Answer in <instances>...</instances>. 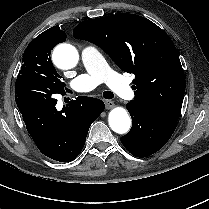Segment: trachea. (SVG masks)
I'll list each match as a JSON object with an SVG mask.
<instances>
[{
    "mask_svg": "<svg viewBox=\"0 0 209 209\" xmlns=\"http://www.w3.org/2000/svg\"><path fill=\"white\" fill-rule=\"evenodd\" d=\"M103 97L106 99H112L114 97V94L111 91H105L103 92Z\"/></svg>",
    "mask_w": 209,
    "mask_h": 209,
    "instance_id": "obj_1",
    "label": "trachea"
}]
</instances>
